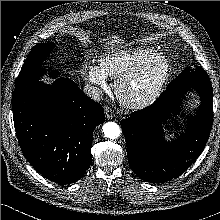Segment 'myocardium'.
Wrapping results in <instances>:
<instances>
[{
	"instance_id": "myocardium-1",
	"label": "myocardium",
	"mask_w": 220,
	"mask_h": 220,
	"mask_svg": "<svg viewBox=\"0 0 220 220\" xmlns=\"http://www.w3.org/2000/svg\"><path fill=\"white\" fill-rule=\"evenodd\" d=\"M154 60H159L162 63V68L147 92L138 98L126 96L125 89L127 85L141 76L147 66ZM170 72L171 62L169 58L162 52H152L144 57L136 66L117 78L115 92L126 107L131 109L145 108L155 102L160 96L170 76Z\"/></svg>"
}]
</instances>
